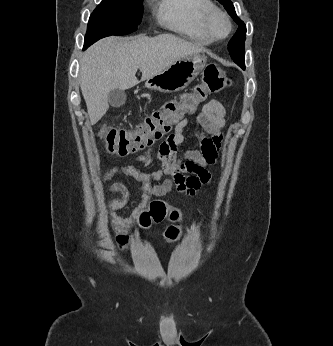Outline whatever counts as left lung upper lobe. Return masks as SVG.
<instances>
[{
  "label": "left lung upper lobe",
  "instance_id": "obj_1",
  "mask_svg": "<svg viewBox=\"0 0 333 346\" xmlns=\"http://www.w3.org/2000/svg\"><path fill=\"white\" fill-rule=\"evenodd\" d=\"M224 8L227 10L229 15L233 17L234 21L239 25L236 34L232 37L228 44V50L230 52L231 58L237 63L240 67L244 68V55L245 47L244 42L246 38V25L240 18L236 15L234 6L230 0H218Z\"/></svg>",
  "mask_w": 333,
  "mask_h": 346
}]
</instances>
